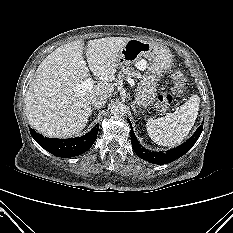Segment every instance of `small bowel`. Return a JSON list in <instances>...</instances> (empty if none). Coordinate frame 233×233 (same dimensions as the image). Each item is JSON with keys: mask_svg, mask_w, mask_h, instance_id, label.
I'll return each mask as SVG.
<instances>
[{"mask_svg": "<svg viewBox=\"0 0 233 233\" xmlns=\"http://www.w3.org/2000/svg\"><path fill=\"white\" fill-rule=\"evenodd\" d=\"M137 67L139 69H145V67H146V61H144V60L138 61L137 62Z\"/></svg>", "mask_w": 233, "mask_h": 233, "instance_id": "small-bowel-1", "label": "small bowel"}]
</instances>
